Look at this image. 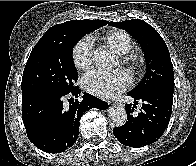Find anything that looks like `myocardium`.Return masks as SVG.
Wrapping results in <instances>:
<instances>
[{
    "label": "myocardium",
    "instance_id": "myocardium-1",
    "mask_svg": "<svg viewBox=\"0 0 196 166\" xmlns=\"http://www.w3.org/2000/svg\"><path fill=\"white\" fill-rule=\"evenodd\" d=\"M124 61L130 63L134 67H139L143 63V58L140 54L137 53H131L126 54L124 57Z\"/></svg>",
    "mask_w": 196,
    "mask_h": 166
}]
</instances>
